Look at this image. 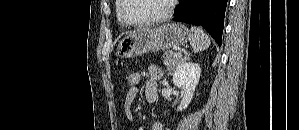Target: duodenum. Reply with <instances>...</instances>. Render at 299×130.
Instances as JSON below:
<instances>
[{
  "label": "duodenum",
  "mask_w": 299,
  "mask_h": 130,
  "mask_svg": "<svg viewBox=\"0 0 299 130\" xmlns=\"http://www.w3.org/2000/svg\"><path fill=\"white\" fill-rule=\"evenodd\" d=\"M156 97H157V95L156 96H148V101L153 102L156 99Z\"/></svg>",
  "instance_id": "1"
}]
</instances>
